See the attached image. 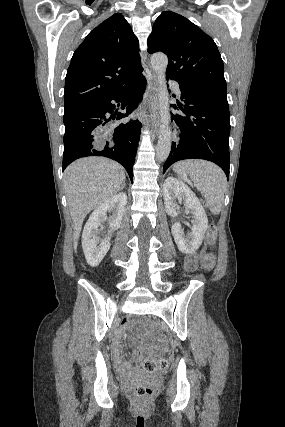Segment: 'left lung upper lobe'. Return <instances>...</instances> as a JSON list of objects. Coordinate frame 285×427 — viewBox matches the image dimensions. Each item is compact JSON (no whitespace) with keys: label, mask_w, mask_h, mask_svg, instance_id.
Segmentation results:
<instances>
[{"label":"left lung upper lobe","mask_w":285,"mask_h":427,"mask_svg":"<svg viewBox=\"0 0 285 427\" xmlns=\"http://www.w3.org/2000/svg\"><path fill=\"white\" fill-rule=\"evenodd\" d=\"M148 52L168 56L167 76L193 91L227 97L224 65L215 42L185 17L163 12L148 38Z\"/></svg>","instance_id":"1"}]
</instances>
